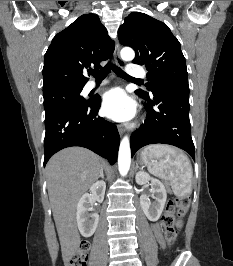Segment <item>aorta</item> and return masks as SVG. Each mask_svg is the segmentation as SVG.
Wrapping results in <instances>:
<instances>
[{
    "label": "aorta",
    "instance_id": "aorta-1",
    "mask_svg": "<svg viewBox=\"0 0 233 266\" xmlns=\"http://www.w3.org/2000/svg\"><path fill=\"white\" fill-rule=\"evenodd\" d=\"M121 57L125 61H132L135 57V53L131 48H123L120 52ZM131 164V150H130V141L129 137L125 136L119 147L118 154V168L122 176L127 175Z\"/></svg>",
    "mask_w": 233,
    "mask_h": 266
}]
</instances>
